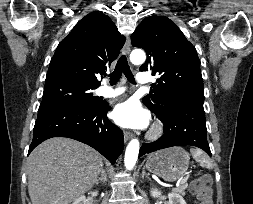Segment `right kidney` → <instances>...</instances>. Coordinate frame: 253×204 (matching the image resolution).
<instances>
[{
    "instance_id": "obj_1",
    "label": "right kidney",
    "mask_w": 253,
    "mask_h": 204,
    "mask_svg": "<svg viewBox=\"0 0 253 204\" xmlns=\"http://www.w3.org/2000/svg\"><path fill=\"white\" fill-rule=\"evenodd\" d=\"M92 197H96L98 195L97 191L90 192ZM72 204H87V199L85 196H81L77 198Z\"/></svg>"
}]
</instances>
